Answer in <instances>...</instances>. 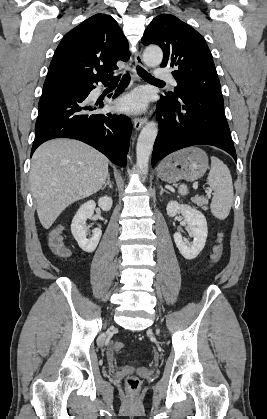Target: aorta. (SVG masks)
I'll return each instance as SVG.
<instances>
[{
  "instance_id": "762f6f07",
  "label": "aorta",
  "mask_w": 267,
  "mask_h": 419,
  "mask_svg": "<svg viewBox=\"0 0 267 419\" xmlns=\"http://www.w3.org/2000/svg\"><path fill=\"white\" fill-rule=\"evenodd\" d=\"M163 59L162 50L156 46L147 47L143 53V60L147 66L156 67ZM158 133L157 125L153 122L147 123L141 130L137 145L136 158L137 168L140 174L147 175L149 169V158L152 153L154 141Z\"/></svg>"
}]
</instances>
